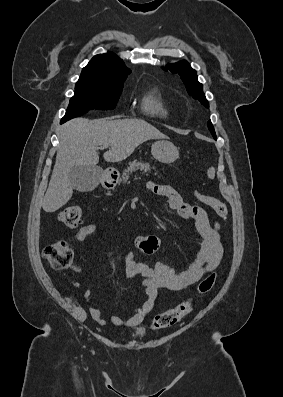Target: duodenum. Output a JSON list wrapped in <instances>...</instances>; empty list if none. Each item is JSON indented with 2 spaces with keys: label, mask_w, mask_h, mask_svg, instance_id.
<instances>
[{
  "label": "duodenum",
  "mask_w": 283,
  "mask_h": 397,
  "mask_svg": "<svg viewBox=\"0 0 283 397\" xmlns=\"http://www.w3.org/2000/svg\"><path fill=\"white\" fill-rule=\"evenodd\" d=\"M112 183H113V182L108 181V182L105 183V186H106V187H111V186H113Z\"/></svg>",
  "instance_id": "1"
}]
</instances>
